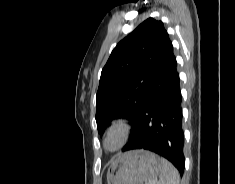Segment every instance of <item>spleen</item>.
<instances>
[{
    "label": "spleen",
    "instance_id": "3e777b00",
    "mask_svg": "<svg viewBox=\"0 0 235 184\" xmlns=\"http://www.w3.org/2000/svg\"><path fill=\"white\" fill-rule=\"evenodd\" d=\"M161 170L159 174V180L156 184H179V174L178 170L165 160V158H160Z\"/></svg>",
    "mask_w": 235,
    "mask_h": 184
}]
</instances>
